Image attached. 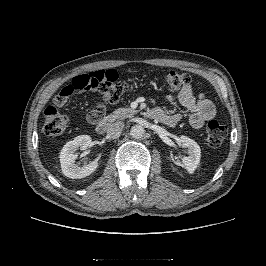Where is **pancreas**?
<instances>
[{"instance_id": "pancreas-1", "label": "pancreas", "mask_w": 266, "mask_h": 266, "mask_svg": "<svg viewBox=\"0 0 266 266\" xmlns=\"http://www.w3.org/2000/svg\"><path fill=\"white\" fill-rule=\"evenodd\" d=\"M137 112V110H133L131 108H118L117 110L113 111L112 114L108 115L107 119L109 121H113L115 119H124L127 117H132Z\"/></svg>"}]
</instances>
